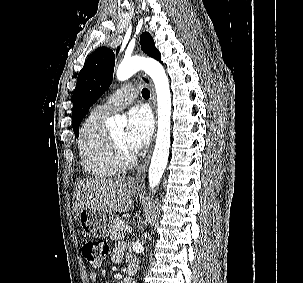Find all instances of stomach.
Returning <instances> with one entry per match:
<instances>
[{
    "instance_id": "stomach-1",
    "label": "stomach",
    "mask_w": 303,
    "mask_h": 283,
    "mask_svg": "<svg viewBox=\"0 0 303 283\" xmlns=\"http://www.w3.org/2000/svg\"><path fill=\"white\" fill-rule=\"evenodd\" d=\"M139 189L133 187V193ZM79 223L82 233L93 238H104L109 235L113 223V214L92 208H84L79 212Z\"/></svg>"
}]
</instances>
